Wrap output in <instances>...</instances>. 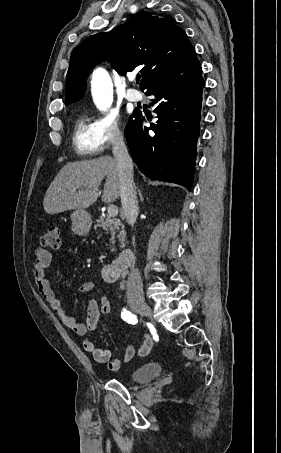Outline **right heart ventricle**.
<instances>
[{
  "instance_id": "obj_1",
  "label": "right heart ventricle",
  "mask_w": 281,
  "mask_h": 453,
  "mask_svg": "<svg viewBox=\"0 0 281 453\" xmlns=\"http://www.w3.org/2000/svg\"><path fill=\"white\" fill-rule=\"evenodd\" d=\"M73 145L77 154L84 158L97 156L103 149L95 122L90 114L82 110L79 112L73 130Z\"/></svg>"
}]
</instances>
